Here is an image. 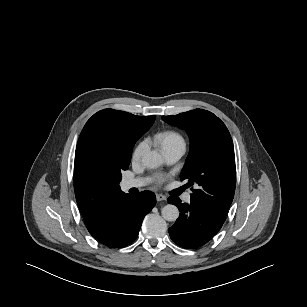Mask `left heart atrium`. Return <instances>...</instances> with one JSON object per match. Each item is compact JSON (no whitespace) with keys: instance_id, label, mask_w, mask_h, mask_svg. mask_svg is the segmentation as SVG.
Instances as JSON below:
<instances>
[{"instance_id":"obj_1","label":"left heart atrium","mask_w":307,"mask_h":307,"mask_svg":"<svg viewBox=\"0 0 307 307\" xmlns=\"http://www.w3.org/2000/svg\"><path fill=\"white\" fill-rule=\"evenodd\" d=\"M156 180H157V182H161L163 180V177L162 176H157Z\"/></svg>"}]
</instances>
